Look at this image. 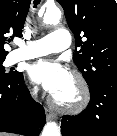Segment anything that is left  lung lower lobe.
Returning a JSON list of instances; mask_svg holds the SVG:
<instances>
[{
	"label": "left lung lower lobe",
	"instance_id": "obj_1",
	"mask_svg": "<svg viewBox=\"0 0 117 136\" xmlns=\"http://www.w3.org/2000/svg\"><path fill=\"white\" fill-rule=\"evenodd\" d=\"M87 108L76 116H63V136H117V75L90 89Z\"/></svg>",
	"mask_w": 117,
	"mask_h": 136
}]
</instances>
